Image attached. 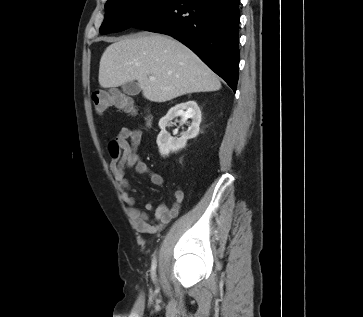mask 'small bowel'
I'll list each match as a JSON object with an SVG mask.
<instances>
[{"mask_svg": "<svg viewBox=\"0 0 363 317\" xmlns=\"http://www.w3.org/2000/svg\"><path fill=\"white\" fill-rule=\"evenodd\" d=\"M117 140L121 146V156L112 160V170L116 181L122 189V199L128 206V215L136 229L157 233L161 231L172 219L177 217L180 211L181 203L184 199V193L181 189L175 190L174 203L171 207L159 205L154 208L151 201L144 204L146 211H154V217L150 218L148 213L136 206L135 199L130 195L132 186L126 178L128 168L134 167L138 174H147L154 185H162V175L153 172L146 162L140 159L137 149L141 141L139 130L123 127L117 135Z\"/></svg>", "mask_w": 363, "mask_h": 317, "instance_id": "small-bowel-1", "label": "small bowel"}]
</instances>
